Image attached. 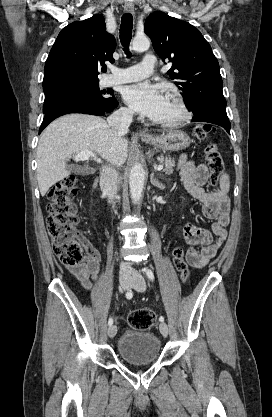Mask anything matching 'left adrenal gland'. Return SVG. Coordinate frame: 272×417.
<instances>
[{"label": "left adrenal gland", "mask_w": 272, "mask_h": 417, "mask_svg": "<svg viewBox=\"0 0 272 417\" xmlns=\"http://www.w3.org/2000/svg\"><path fill=\"white\" fill-rule=\"evenodd\" d=\"M150 181H151V184L154 185L155 187L160 188V189L163 188V184L158 179L154 178V173H151Z\"/></svg>", "instance_id": "obj_1"}]
</instances>
